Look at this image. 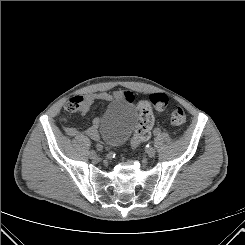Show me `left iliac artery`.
<instances>
[{"label":"left iliac artery","mask_w":245,"mask_h":245,"mask_svg":"<svg viewBox=\"0 0 245 245\" xmlns=\"http://www.w3.org/2000/svg\"><path fill=\"white\" fill-rule=\"evenodd\" d=\"M162 131H163L162 128L158 126V127L155 128L154 134L156 136H160L162 134Z\"/></svg>","instance_id":"obj_1"}]
</instances>
